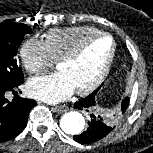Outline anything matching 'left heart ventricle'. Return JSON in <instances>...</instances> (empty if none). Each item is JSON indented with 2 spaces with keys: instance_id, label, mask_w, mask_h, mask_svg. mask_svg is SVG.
<instances>
[{
  "instance_id": "left-heart-ventricle-1",
  "label": "left heart ventricle",
  "mask_w": 153,
  "mask_h": 153,
  "mask_svg": "<svg viewBox=\"0 0 153 153\" xmlns=\"http://www.w3.org/2000/svg\"><path fill=\"white\" fill-rule=\"evenodd\" d=\"M112 48L108 38H100L92 42L73 62L62 63L57 66L71 81L74 89L90 84L104 67Z\"/></svg>"
}]
</instances>
